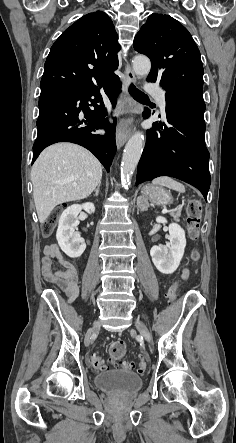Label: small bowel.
Returning a JSON list of instances; mask_svg holds the SVG:
<instances>
[{
  "label": "small bowel",
  "instance_id": "1",
  "mask_svg": "<svg viewBox=\"0 0 236 443\" xmlns=\"http://www.w3.org/2000/svg\"><path fill=\"white\" fill-rule=\"evenodd\" d=\"M59 264L62 269H54L53 263ZM42 271L47 282L63 292L68 301L73 300L78 293L79 271L75 263L65 258L56 246H46L42 260ZM183 279L189 276L187 269L182 270Z\"/></svg>",
  "mask_w": 236,
  "mask_h": 443
}]
</instances>
